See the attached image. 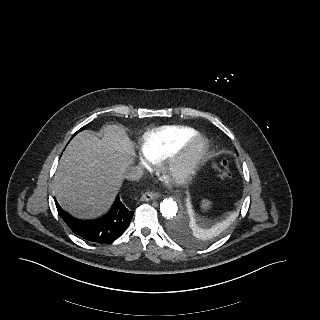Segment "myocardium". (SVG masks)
<instances>
[{
  "label": "myocardium",
  "instance_id": "obj_1",
  "mask_svg": "<svg viewBox=\"0 0 320 320\" xmlns=\"http://www.w3.org/2000/svg\"><path fill=\"white\" fill-rule=\"evenodd\" d=\"M208 152L207 140L194 134L183 146L168 158L165 173L177 183H185L198 171Z\"/></svg>",
  "mask_w": 320,
  "mask_h": 320
}]
</instances>
